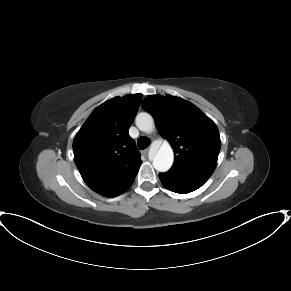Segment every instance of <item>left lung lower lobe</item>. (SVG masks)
<instances>
[{"label": "left lung lower lobe", "mask_w": 291, "mask_h": 291, "mask_svg": "<svg viewBox=\"0 0 291 291\" xmlns=\"http://www.w3.org/2000/svg\"><path fill=\"white\" fill-rule=\"evenodd\" d=\"M159 178L168 190L186 194L201 187L206 181L192 178H184L171 173H159Z\"/></svg>", "instance_id": "0a47b994"}]
</instances>
